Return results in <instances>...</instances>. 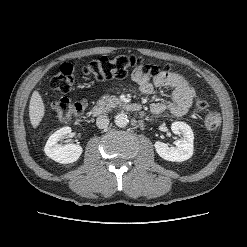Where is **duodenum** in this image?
Here are the masks:
<instances>
[{
    "instance_id": "duodenum-1",
    "label": "duodenum",
    "mask_w": 247,
    "mask_h": 247,
    "mask_svg": "<svg viewBox=\"0 0 247 247\" xmlns=\"http://www.w3.org/2000/svg\"><path fill=\"white\" fill-rule=\"evenodd\" d=\"M122 106L125 110L130 111V112H140L141 111V105L135 102L124 103ZM108 110H109L108 105L104 103H98L92 107L91 114L93 116H100L108 112Z\"/></svg>"
}]
</instances>
